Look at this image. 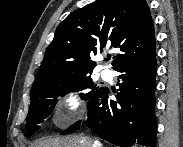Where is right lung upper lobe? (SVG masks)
I'll return each instance as SVG.
<instances>
[{
    "instance_id": "obj_1",
    "label": "right lung upper lobe",
    "mask_w": 183,
    "mask_h": 147,
    "mask_svg": "<svg viewBox=\"0 0 183 147\" xmlns=\"http://www.w3.org/2000/svg\"><path fill=\"white\" fill-rule=\"evenodd\" d=\"M106 47L121 51L114 56V69L156 52L145 0H98L73 11L58 26L31 91L58 79L91 74L96 66L91 58Z\"/></svg>"
}]
</instances>
